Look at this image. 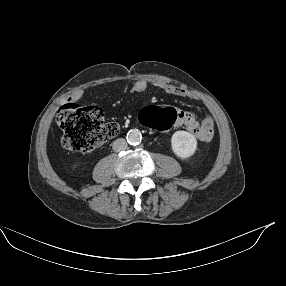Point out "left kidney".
<instances>
[{
    "label": "left kidney",
    "mask_w": 286,
    "mask_h": 286,
    "mask_svg": "<svg viewBox=\"0 0 286 286\" xmlns=\"http://www.w3.org/2000/svg\"><path fill=\"white\" fill-rule=\"evenodd\" d=\"M172 151L176 156L186 159L191 157L197 149L194 135L186 131H176L171 138Z\"/></svg>",
    "instance_id": "left-kidney-1"
}]
</instances>
